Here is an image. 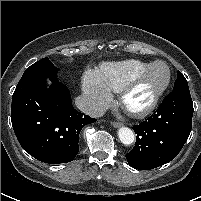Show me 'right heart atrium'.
<instances>
[{"label":"right heart atrium","mask_w":201,"mask_h":201,"mask_svg":"<svg viewBox=\"0 0 201 201\" xmlns=\"http://www.w3.org/2000/svg\"><path fill=\"white\" fill-rule=\"evenodd\" d=\"M83 105L91 115L100 114L111 102V90L95 70H88L82 80Z\"/></svg>","instance_id":"right-heart-atrium-1"}]
</instances>
